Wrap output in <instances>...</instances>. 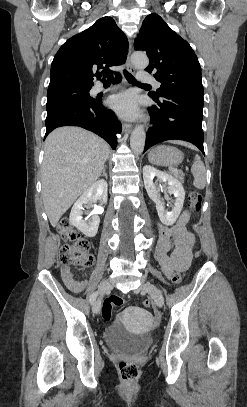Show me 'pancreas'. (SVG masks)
Returning <instances> with one entry per match:
<instances>
[{
	"instance_id": "pancreas-1",
	"label": "pancreas",
	"mask_w": 247,
	"mask_h": 407,
	"mask_svg": "<svg viewBox=\"0 0 247 407\" xmlns=\"http://www.w3.org/2000/svg\"><path fill=\"white\" fill-rule=\"evenodd\" d=\"M172 174L180 181L184 182V173L182 171H172Z\"/></svg>"
}]
</instances>
